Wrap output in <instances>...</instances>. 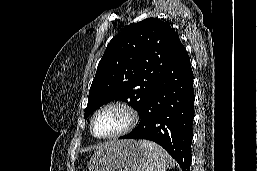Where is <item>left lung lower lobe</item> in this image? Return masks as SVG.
Masks as SVG:
<instances>
[{
	"mask_svg": "<svg viewBox=\"0 0 257 171\" xmlns=\"http://www.w3.org/2000/svg\"><path fill=\"white\" fill-rule=\"evenodd\" d=\"M194 90L190 58L183 46L165 68L139 125L120 139H147L161 145L189 171L193 135Z\"/></svg>",
	"mask_w": 257,
	"mask_h": 171,
	"instance_id": "1",
	"label": "left lung lower lobe"
}]
</instances>
